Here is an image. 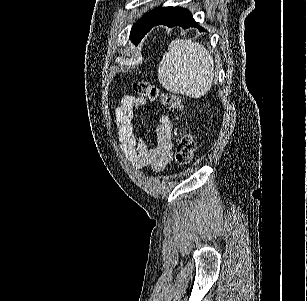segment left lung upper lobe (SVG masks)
Returning a JSON list of instances; mask_svg holds the SVG:
<instances>
[{"label": "left lung upper lobe", "instance_id": "1", "mask_svg": "<svg viewBox=\"0 0 307 301\" xmlns=\"http://www.w3.org/2000/svg\"><path fill=\"white\" fill-rule=\"evenodd\" d=\"M171 7L156 8L147 13L136 24L133 25L130 32V40L137 45L146 33L150 30L152 23L162 16Z\"/></svg>", "mask_w": 307, "mask_h": 301}]
</instances>
